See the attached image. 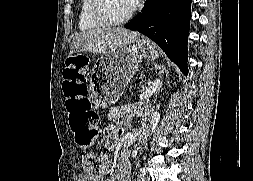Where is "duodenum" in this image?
<instances>
[{"mask_svg":"<svg viewBox=\"0 0 253 181\" xmlns=\"http://www.w3.org/2000/svg\"><path fill=\"white\" fill-rule=\"evenodd\" d=\"M145 134H146L145 131H142V132H141V136H144Z\"/></svg>","mask_w":253,"mask_h":181,"instance_id":"obj_1","label":"duodenum"}]
</instances>
